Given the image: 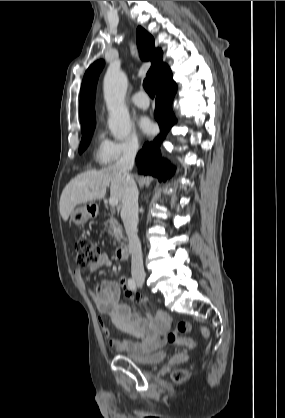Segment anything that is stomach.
Masks as SVG:
<instances>
[{
	"label": "stomach",
	"mask_w": 285,
	"mask_h": 418,
	"mask_svg": "<svg viewBox=\"0 0 285 418\" xmlns=\"http://www.w3.org/2000/svg\"><path fill=\"white\" fill-rule=\"evenodd\" d=\"M90 217H91V213L89 212L87 206L77 208L71 214V220L76 225H83L84 223H86L89 220Z\"/></svg>",
	"instance_id": "1"
}]
</instances>
